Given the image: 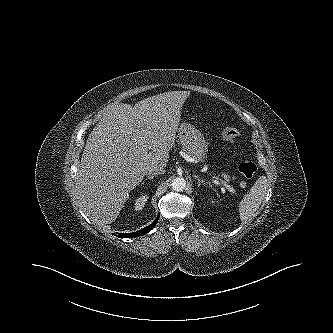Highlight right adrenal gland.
Segmentation results:
<instances>
[{
    "instance_id": "1",
    "label": "right adrenal gland",
    "mask_w": 333,
    "mask_h": 333,
    "mask_svg": "<svg viewBox=\"0 0 333 333\" xmlns=\"http://www.w3.org/2000/svg\"><path fill=\"white\" fill-rule=\"evenodd\" d=\"M154 178V176H148L143 182H142V185L144 186V184H145V182L147 181V180H152Z\"/></svg>"
}]
</instances>
